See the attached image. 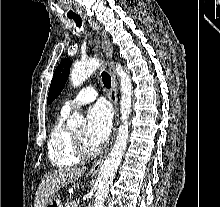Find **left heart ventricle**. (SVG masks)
Wrapping results in <instances>:
<instances>
[{
  "instance_id": "obj_1",
  "label": "left heart ventricle",
  "mask_w": 220,
  "mask_h": 207,
  "mask_svg": "<svg viewBox=\"0 0 220 207\" xmlns=\"http://www.w3.org/2000/svg\"><path fill=\"white\" fill-rule=\"evenodd\" d=\"M76 137H78L88 149H94V147L86 140L85 130H80L74 133Z\"/></svg>"
}]
</instances>
